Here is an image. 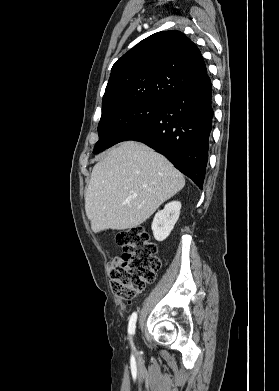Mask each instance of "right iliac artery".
Instances as JSON below:
<instances>
[{
  "label": "right iliac artery",
  "mask_w": 279,
  "mask_h": 391,
  "mask_svg": "<svg viewBox=\"0 0 279 391\" xmlns=\"http://www.w3.org/2000/svg\"><path fill=\"white\" fill-rule=\"evenodd\" d=\"M136 321H137V313L134 312L130 317L129 325H128V334L130 336V343L132 347H133L132 336L135 334Z\"/></svg>",
  "instance_id": "obj_1"
}]
</instances>
